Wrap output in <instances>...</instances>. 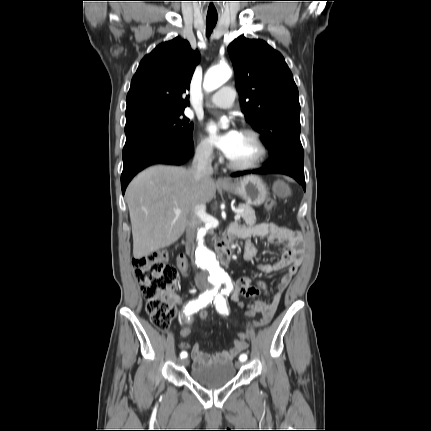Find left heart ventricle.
<instances>
[{
	"mask_svg": "<svg viewBox=\"0 0 431 431\" xmlns=\"http://www.w3.org/2000/svg\"><path fill=\"white\" fill-rule=\"evenodd\" d=\"M257 156L258 148L254 140L250 136L240 133L233 150L227 157L236 163H247Z\"/></svg>",
	"mask_w": 431,
	"mask_h": 431,
	"instance_id": "1",
	"label": "left heart ventricle"
}]
</instances>
